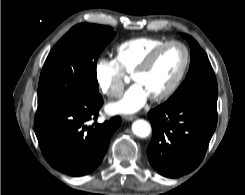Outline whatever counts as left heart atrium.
Returning <instances> with one entry per match:
<instances>
[{"label":"left heart atrium","mask_w":245,"mask_h":195,"mask_svg":"<svg viewBox=\"0 0 245 195\" xmlns=\"http://www.w3.org/2000/svg\"><path fill=\"white\" fill-rule=\"evenodd\" d=\"M149 98L147 91L138 83L131 86L121 100L108 105L107 110L114 114H129L138 111Z\"/></svg>","instance_id":"39dd6f15"}]
</instances>
